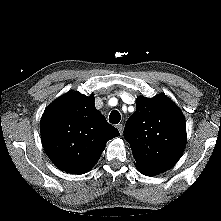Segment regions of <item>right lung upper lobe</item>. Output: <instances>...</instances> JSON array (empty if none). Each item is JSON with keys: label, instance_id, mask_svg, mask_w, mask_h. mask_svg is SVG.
<instances>
[{"label": "right lung upper lobe", "instance_id": "cb5924a9", "mask_svg": "<svg viewBox=\"0 0 221 221\" xmlns=\"http://www.w3.org/2000/svg\"><path fill=\"white\" fill-rule=\"evenodd\" d=\"M40 132L50 160L61 170L84 174L98 161L108 140L119 135L94 106V96L68 92L44 111Z\"/></svg>", "mask_w": 221, "mask_h": 221}]
</instances>
